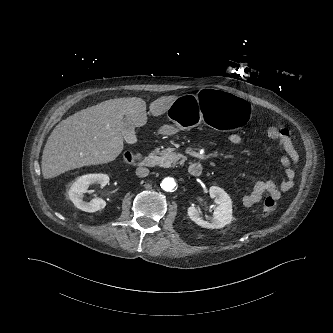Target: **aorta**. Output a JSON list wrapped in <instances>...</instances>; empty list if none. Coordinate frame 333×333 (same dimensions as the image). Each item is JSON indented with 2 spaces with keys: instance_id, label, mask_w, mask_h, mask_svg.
Masks as SVG:
<instances>
[{
  "instance_id": "1",
  "label": "aorta",
  "mask_w": 333,
  "mask_h": 333,
  "mask_svg": "<svg viewBox=\"0 0 333 333\" xmlns=\"http://www.w3.org/2000/svg\"><path fill=\"white\" fill-rule=\"evenodd\" d=\"M176 187V182L171 177H166L161 182V188L165 191H172Z\"/></svg>"
}]
</instances>
